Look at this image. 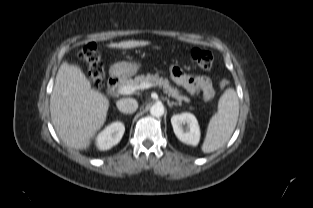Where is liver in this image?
Returning a JSON list of instances; mask_svg holds the SVG:
<instances>
[{
  "instance_id": "liver-1",
  "label": "liver",
  "mask_w": 313,
  "mask_h": 208,
  "mask_svg": "<svg viewBox=\"0 0 313 208\" xmlns=\"http://www.w3.org/2000/svg\"><path fill=\"white\" fill-rule=\"evenodd\" d=\"M149 44V41L129 40L108 47L131 49ZM108 108V99L91 88L78 66L62 63L50 97V113L58 136L67 146L76 150L88 148L103 126Z\"/></svg>"
}]
</instances>
